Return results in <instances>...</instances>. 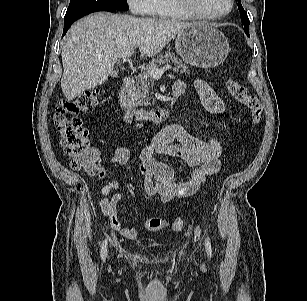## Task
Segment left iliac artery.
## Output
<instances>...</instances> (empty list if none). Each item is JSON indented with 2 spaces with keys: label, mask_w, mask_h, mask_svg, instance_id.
Returning <instances> with one entry per match:
<instances>
[{
  "label": "left iliac artery",
  "mask_w": 307,
  "mask_h": 301,
  "mask_svg": "<svg viewBox=\"0 0 307 301\" xmlns=\"http://www.w3.org/2000/svg\"><path fill=\"white\" fill-rule=\"evenodd\" d=\"M205 246H206V250H207L209 257H211L212 256V249H211V243H210L208 237H205Z\"/></svg>",
  "instance_id": "obj_1"
}]
</instances>
